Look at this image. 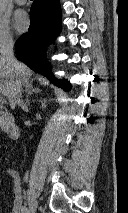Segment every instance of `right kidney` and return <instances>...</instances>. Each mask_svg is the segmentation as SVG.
Here are the masks:
<instances>
[{
	"label": "right kidney",
	"instance_id": "1",
	"mask_svg": "<svg viewBox=\"0 0 128 213\" xmlns=\"http://www.w3.org/2000/svg\"><path fill=\"white\" fill-rule=\"evenodd\" d=\"M42 108H43V109L46 108V100H43V101H42Z\"/></svg>",
	"mask_w": 128,
	"mask_h": 213
}]
</instances>
